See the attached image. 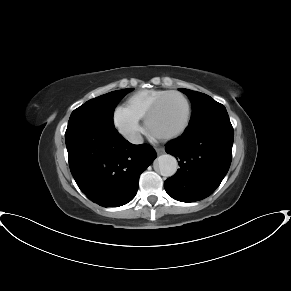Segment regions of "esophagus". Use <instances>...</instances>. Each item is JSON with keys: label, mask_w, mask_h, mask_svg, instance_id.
<instances>
[{"label": "esophagus", "mask_w": 291, "mask_h": 291, "mask_svg": "<svg viewBox=\"0 0 291 291\" xmlns=\"http://www.w3.org/2000/svg\"><path fill=\"white\" fill-rule=\"evenodd\" d=\"M155 151L157 152V154H163L164 153V148H155Z\"/></svg>", "instance_id": "1"}]
</instances>
